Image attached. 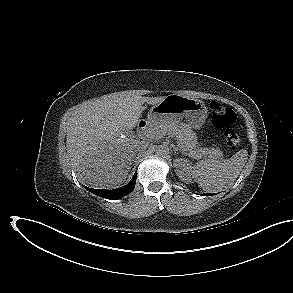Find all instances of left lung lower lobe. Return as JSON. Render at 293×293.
<instances>
[{
    "label": "left lung lower lobe",
    "mask_w": 293,
    "mask_h": 293,
    "mask_svg": "<svg viewBox=\"0 0 293 293\" xmlns=\"http://www.w3.org/2000/svg\"><path fill=\"white\" fill-rule=\"evenodd\" d=\"M205 195L209 196V195H213V194L208 193V194H205Z\"/></svg>",
    "instance_id": "1"
}]
</instances>
